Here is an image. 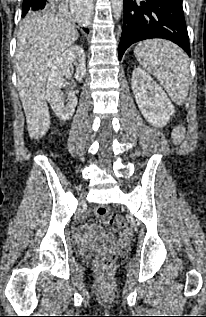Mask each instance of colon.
Returning a JSON list of instances; mask_svg holds the SVG:
<instances>
[{
    "label": "colon",
    "mask_w": 206,
    "mask_h": 317,
    "mask_svg": "<svg viewBox=\"0 0 206 317\" xmlns=\"http://www.w3.org/2000/svg\"><path fill=\"white\" fill-rule=\"evenodd\" d=\"M184 136V130L182 127H177L173 132V139L176 143H179L182 141ZM95 214L106 220L109 221L117 226H123L124 221L119 216H111L109 213V210L104 206H99L95 209ZM94 265L97 270L102 272H107L112 269L114 263L110 256L106 254H97L94 258Z\"/></svg>",
    "instance_id": "colon-1"
}]
</instances>
